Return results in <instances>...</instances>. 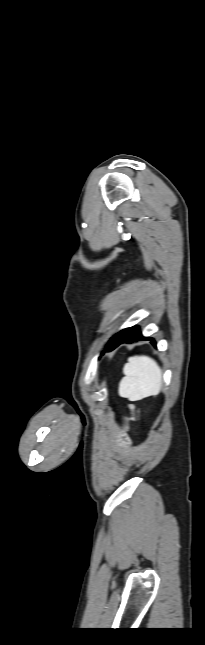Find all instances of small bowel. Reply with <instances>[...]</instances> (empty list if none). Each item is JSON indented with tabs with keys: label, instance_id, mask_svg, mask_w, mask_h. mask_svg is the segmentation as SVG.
Here are the masks:
<instances>
[{
	"label": "small bowel",
	"instance_id": "small-bowel-1",
	"mask_svg": "<svg viewBox=\"0 0 205 645\" xmlns=\"http://www.w3.org/2000/svg\"><path fill=\"white\" fill-rule=\"evenodd\" d=\"M115 445L117 446V448H120L122 450H126L131 445V439L125 433L116 435L115 436Z\"/></svg>",
	"mask_w": 205,
	"mask_h": 645
}]
</instances>
